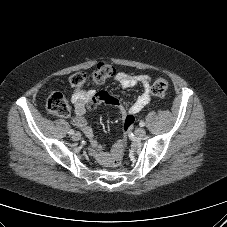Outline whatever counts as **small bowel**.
Instances as JSON below:
<instances>
[{
  "instance_id": "c3829d8e",
  "label": "small bowel",
  "mask_w": 227,
  "mask_h": 227,
  "mask_svg": "<svg viewBox=\"0 0 227 227\" xmlns=\"http://www.w3.org/2000/svg\"><path fill=\"white\" fill-rule=\"evenodd\" d=\"M115 80L123 88H131L136 85H140L142 87L143 92L137 97L130 107L124 108L116 98L110 96L106 92L94 94L92 91H78L75 92L71 98L74 105L73 120L89 139L90 152L96 157L98 162L104 166H108L110 164L112 157L118 150H123L125 146V138L118 140L110 150H107L104 146L98 144L85 114L87 104L90 108H94L102 102L117 106L121 111L123 123H125L127 117L134 116L151 101V78L149 75H132L126 72H119L116 75Z\"/></svg>"
}]
</instances>
